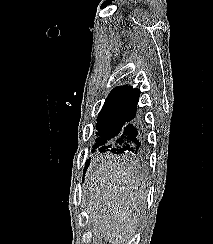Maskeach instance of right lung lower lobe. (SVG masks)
Masks as SVG:
<instances>
[{
	"mask_svg": "<svg viewBox=\"0 0 213 244\" xmlns=\"http://www.w3.org/2000/svg\"><path fill=\"white\" fill-rule=\"evenodd\" d=\"M134 118L123 127L121 133L114 140L101 145L99 151H111L115 154H139L142 148V136Z\"/></svg>",
	"mask_w": 213,
	"mask_h": 244,
	"instance_id": "right-lung-lower-lobe-1",
	"label": "right lung lower lobe"
}]
</instances>
